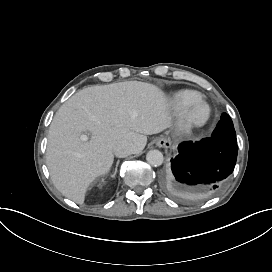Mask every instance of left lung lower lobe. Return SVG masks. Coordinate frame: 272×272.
I'll return each instance as SVG.
<instances>
[{
  "label": "left lung lower lobe",
  "instance_id": "0a47b994",
  "mask_svg": "<svg viewBox=\"0 0 272 272\" xmlns=\"http://www.w3.org/2000/svg\"><path fill=\"white\" fill-rule=\"evenodd\" d=\"M179 154L171 159L164 183L179 196H211L226 184L233 172L238 153L237 143L209 137L199 142H183Z\"/></svg>",
  "mask_w": 272,
  "mask_h": 272
}]
</instances>
